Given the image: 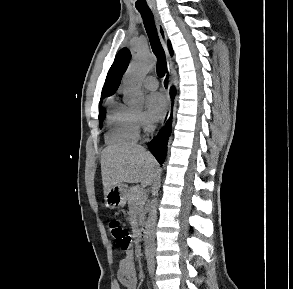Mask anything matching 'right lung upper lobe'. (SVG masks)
<instances>
[{
    "instance_id": "1",
    "label": "right lung upper lobe",
    "mask_w": 293,
    "mask_h": 289,
    "mask_svg": "<svg viewBox=\"0 0 293 289\" xmlns=\"http://www.w3.org/2000/svg\"><path fill=\"white\" fill-rule=\"evenodd\" d=\"M168 47H169L170 54L173 55V50L169 41H168ZM130 58H131V54L127 48H123L118 52L107 74V78L102 90L101 98H103L104 96L113 95L116 92L120 84L122 75L124 71L126 70V68L128 67Z\"/></svg>"
}]
</instances>
